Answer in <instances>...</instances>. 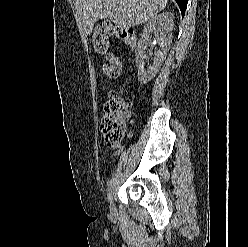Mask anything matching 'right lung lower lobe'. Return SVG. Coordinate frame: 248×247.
Wrapping results in <instances>:
<instances>
[{"label": "right lung lower lobe", "instance_id": "1", "mask_svg": "<svg viewBox=\"0 0 248 247\" xmlns=\"http://www.w3.org/2000/svg\"><path fill=\"white\" fill-rule=\"evenodd\" d=\"M181 10V13H182V17L185 15V10H186V7H187V1L188 0H175Z\"/></svg>", "mask_w": 248, "mask_h": 247}]
</instances>
